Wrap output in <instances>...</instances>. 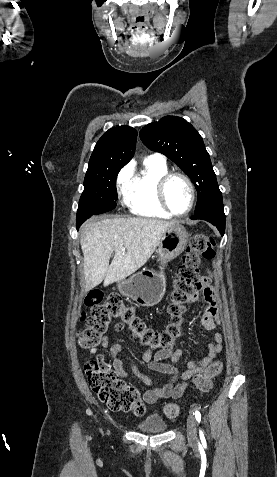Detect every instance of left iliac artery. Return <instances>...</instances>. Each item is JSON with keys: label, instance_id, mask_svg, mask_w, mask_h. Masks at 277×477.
<instances>
[{"label": "left iliac artery", "instance_id": "1", "mask_svg": "<svg viewBox=\"0 0 277 477\" xmlns=\"http://www.w3.org/2000/svg\"><path fill=\"white\" fill-rule=\"evenodd\" d=\"M195 418H196V420H197L198 422H200V420H201V414H200L199 411H195ZM201 434H202V433H201Z\"/></svg>", "mask_w": 277, "mask_h": 477}]
</instances>
